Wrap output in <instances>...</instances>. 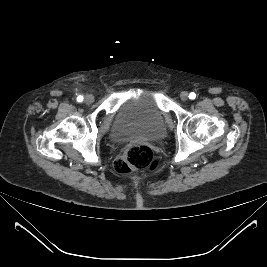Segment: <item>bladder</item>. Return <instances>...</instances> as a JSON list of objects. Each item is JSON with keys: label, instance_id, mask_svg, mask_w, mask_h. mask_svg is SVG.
<instances>
[{"label": "bladder", "instance_id": "31cf9c89", "mask_svg": "<svg viewBox=\"0 0 267 267\" xmlns=\"http://www.w3.org/2000/svg\"><path fill=\"white\" fill-rule=\"evenodd\" d=\"M166 124L164 112L158 104L155 92L144 89L126 99L116 112L110 136L116 141L132 138L158 140L164 136Z\"/></svg>", "mask_w": 267, "mask_h": 267}]
</instances>
